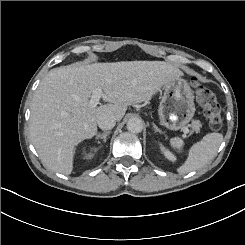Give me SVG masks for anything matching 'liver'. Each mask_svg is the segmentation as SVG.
I'll return each mask as SVG.
<instances>
[{
  "label": "liver",
  "instance_id": "1",
  "mask_svg": "<svg viewBox=\"0 0 245 245\" xmlns=\"http://www.w3.org/2000/svg\"><path fill=\"white\" fill-rule=\"evenodd\" d=\"M181 71L163 61H122L69 65L52 69L32 100L30 136L45 167L69 175L75 146L97 134L101 114L120 121L131 104L150 100L164 82ZM104 92L105 105L92 108L89 98Z\"/></svg>",
  "mask_w": 245,
  "mask_h": 245
}]
</instances>
